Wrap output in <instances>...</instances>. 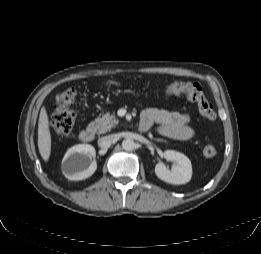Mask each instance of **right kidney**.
Returning <instances> with one entry per match:
<instances>
[{"mask_svg":"<svg viewBox=\"0 0 261 254\" xmlns=\"http://www.w3.org/2000/svg\"><path fill=\"white\" fill-rule=\"evenodd\" d=\"M95 155V148L89 144H78L68 149L62 160L64 176L72 181L92 176L97 169L96 161H92Z\"/></svg>","mask_w":261,"mask_h":254,"instance_id":"obj_1","label":"right kidney"}]
</instances>
